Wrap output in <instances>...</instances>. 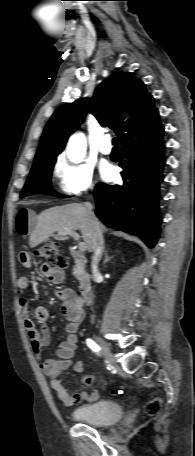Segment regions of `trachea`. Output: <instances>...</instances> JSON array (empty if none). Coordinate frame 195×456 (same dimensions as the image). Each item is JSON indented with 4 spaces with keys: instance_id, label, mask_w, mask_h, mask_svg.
<instances>
[{
    "instance_id": "trachea-1",
    "label": "trachea",
    "mask_w": 195,
    "mask_h": 456,
    "mask_svg": "<svg viewBox=\"0 0 195 456\" xmlns=\"http://www.w3.org/2000/svg\"><path fill=\"white\" fill-rule=\"evenodd\" d=\"M118 144H119V138H118V137H115V138L113 139V145H114L115 147H118Z\"/></svg>"
}]
</instances>
